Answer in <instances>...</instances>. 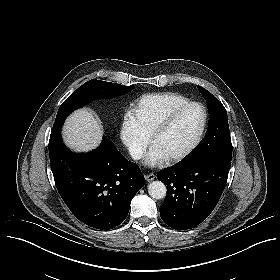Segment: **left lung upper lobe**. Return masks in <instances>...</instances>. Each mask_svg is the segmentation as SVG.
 I'll return each mask as SVG.
<instances>
[{
  "label": "left lung upper lobe",
  "mask_w": 280,
  "mask_h": 280,
  "mask_svg": "<svg viewBox=\"0 0 280 280\" xmlns=\"http://www.w3.org/2000/svg\"><path fill=\"white\" fill-rule=\"evenodd\" d=\"M208 105L209 123L204 139L190 163H199L212 160L231 162L232 143L228 126L227 112L222 103L206 89L198 85Z\"/></svg>",
  "instance_id": "5c2ea615"
}]
</instances>
